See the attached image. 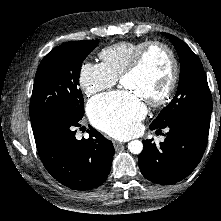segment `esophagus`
Masks as SVG:
<instances>
[{
    "label": "esophagus",
    "mask_w": 221,
    "mask_h": 221,
    "mask_svg": "<svg viewBox=\"0 0 221 221\" xmlns=\"http://www.w3.org/2000/svg\"><path fill=\"white\" fill-rule=\"evenodd\" d=\"M112 143H113V146L116 150L124 144V143L116 141V140H113Z\"/></svg>",
    "instance_id": "1"
}]
</instances>
